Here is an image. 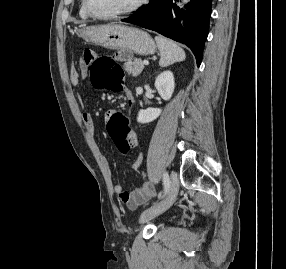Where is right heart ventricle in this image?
<instances>
[{
	"label": "right heart ventricle",
	"instance_id": "obj_1",
	"mask_svg": "<svg viewBox=\"0 0 286 269\" xmlns=\"http://www.w3.org/2000/svg\"><path fill=\"white\" fill-rule=\"evenodd\" d=\"M80 15L82 17H88L89 15L87 14V12L85 11V8H84V4H83V0H82V3H81V6H80Z\"/></svg>",
	"mask_w": 286,
	"mask_h": 269
}]
</instances>
